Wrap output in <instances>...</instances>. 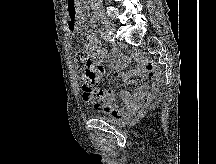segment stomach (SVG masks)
I'll return each instance as SVG.
<instances>
[{
	"instance_id": "obj_1",
	"label": "stomach",
	"mask_w": 216,
	"mask_h": 164,
	"mask_svg": "<svg viewBox=\"0 0 216 164\" xmlns=\"http://www.w3.org/2000/svg\"><path fill=\"white\" fill-rule=\"evenodd\" d=\"M66 14H80V9H66Z\"/></svg>"
}]
</instances>
